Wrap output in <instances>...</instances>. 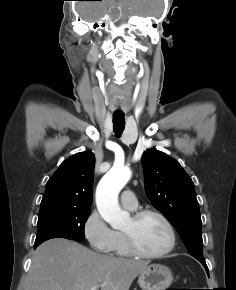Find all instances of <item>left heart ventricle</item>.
<instances>
[{
  "mask_svg": "<svg viewBox=\"0 0 236 290\" xmlns=\"http://www.w3.org/2000/svg\"><path fill=\"white\" fill-rule=\"evenodd\" d=\"M123 232L131 233L137 246L146 253L160 252L169 243L167 228L158 217L153 215L145 216L138 222L131 217Z\"/></svg>",
  "mask_w": 236,
  "mask_h": 290,
  "instance_id": "b2bd125f",
  "label": "left heart ventricle"
}]
</instances>
